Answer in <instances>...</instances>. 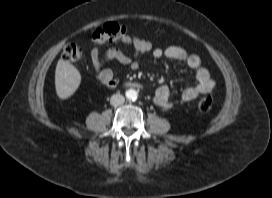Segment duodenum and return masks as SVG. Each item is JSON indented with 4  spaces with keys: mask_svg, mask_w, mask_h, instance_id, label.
<instances>
[{
    "mask_svg": "<svg viewBox=\"0 0 272 198\" xmlns=\"http://www.w3.org/2000/svg\"><path fill=\"white\" fill-rule=\"evenodd\" d=\"M134 86H136V87H139L140 85H138V84H135Z\"/></svg>",
    "mask_w": 272,
    "mask_h": 198,
    "instance_id": "duodenum-1",
    "label": "duodenum"
}]
</instances>
